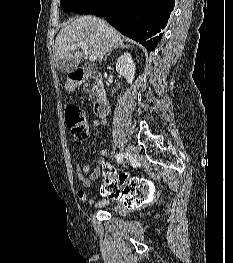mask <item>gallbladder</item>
Masks as SVG:
<instances>
[{"label":"gallbladder","mask_w":233,"mask_h":263,"mask_svg":"<svg viewBox=\"0 0 233 263\" xmlns=\"http://www.w3.org/2000/svg\"><path fill=\"white\" fill-rule=\"evenodd\" d=\"M57 66H58V69L62 72H66V71H69L70 70V67H67L66 66V63H65V60H60L58 63H57Z\"/></svg>","instance_id":"obj_1"}]
</instances>
